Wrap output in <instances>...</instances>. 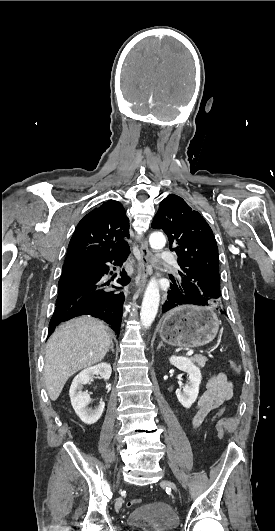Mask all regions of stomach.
I'll list each match as a JSON object with an SVG mask.
<instances>
[{"label":"stomach","instance_id":"stomach-1","mask_svg":"<svg viewBox=\"0 0 275 531\" xmlns=\"http://www.w3.org/2000/svg\"><path fill=\"white\" fill-rule=\"evenodd\" d=\"M221 323L214 311L199 301H181L162 317L160 337L172 347H203L215 339Z\"/></svg>","mask_w":275,"mask_h":531}]
</instances>
